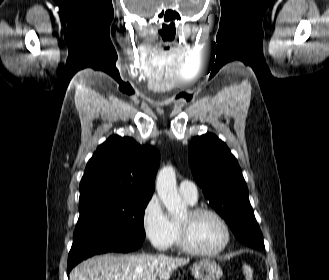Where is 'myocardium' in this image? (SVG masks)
<instances>
[{
	"mask_svg": "<svg viewBox=\"0 0 329 280\" xmlns=\"http://www.w3.org/2000/svg\"><path fill=\"white\" fill-rule=\"evenodd\" d=\"M188 219L192 220L201 215H210L214 217L223 227L224 241L220 247L213 251H205L197 248L191 241L189 226L187 222L178 221L180 245L186 252L199 257H216L223 253L231 243L232 233L225 218L216 210L208 207L193 206L187 211Z\"/></svg>",
	"mask_w": 329,
	"mask_h": 280,
	"instance_id": "1",
	"label": "myocardium"
}]
</instances>
